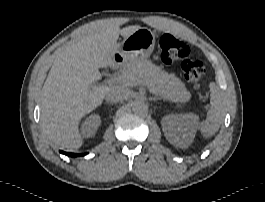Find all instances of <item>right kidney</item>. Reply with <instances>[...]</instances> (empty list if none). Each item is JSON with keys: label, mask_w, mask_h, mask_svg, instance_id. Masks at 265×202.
Returning a JSON list of instances; mask_svg holds the SVG:
<instances>
[{"label": "right kidney", "mask_w": 265, "mask_h": 202, "mask_svg": "<svg viewBox=\"0 0 265 202\" xmlns=\"http://www.w3.org/2000/svg\"><path fill=\"white\" fill-rule=\"evenodd\" d=\"M100 124L101 118L99 115H90L82 124V134L87 138L94 136Z\"/></svg>", "instance_id": "right-kidney-1"}]
</instances>
